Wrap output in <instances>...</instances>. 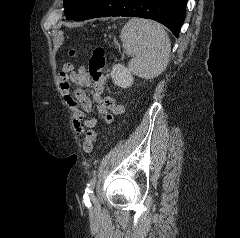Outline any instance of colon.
Here are the masks:
<instances>
[{
    "label": "colon",
    "instance_id": "5ec220e1",
    "mask_svg": "<svg viewBox=\"0 0 240 238\" xmlns=\"http://www.w3.org/2000/svg\"><path fill=\"white\" fill-rule=\"evenodd\" d=\"M77 52L75 50L70 51V56H75ZM89 74L94 82L104 84L107 80L105 74L106 58L104 50L100 47L96 48L89 59ZM97 140V133L94 131L87 132L83 141V150L85 153H91L94 144Z\"/></svg>",
    "mask_w": 240,
    "mask_h": 238
}]
</instances>
